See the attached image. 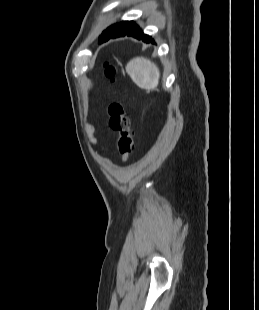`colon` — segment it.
I'll return each instance as SVG.
<instances>
[{
    "label": "colon",
    "instance_id": "1",
    "mask_svg": "<svg viewBox=\"0 0 259 310\" xmlns=\"http://www.w3.org/2000/svg\"><path fill=\"white\" fill-rule=\"evenodd\" d=\"M115 71L112 67H106V75L113 78ZM108 126L117 133L116 147L124 161H128L133 152L134 132L126 115L124 106L120 102H111L107 107Z\"/></svg>",
    "mask_w": 259,
    "mask_h": 310
}]
</instances>
